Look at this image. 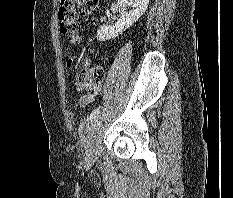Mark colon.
<instances>
[{"mask_svg": "<svg viewBox=\"0 0 233 198\" xmlns=\"http://www.w3.org/2000/svg\"><path fill=\"white\" fill-rule=\"evenodd\" d=\"M98 6V0H60L58 18L60 31L70 43L80 41L78 16L90 15ZM79 87L88 93L96 92L104 80V71L101 67H92L80 70L75 76Z\"/></svg>", "mask_w": 233, "mask_h": 198, "instance_id": "obj_1", "label": "colon"}]
</instances>
